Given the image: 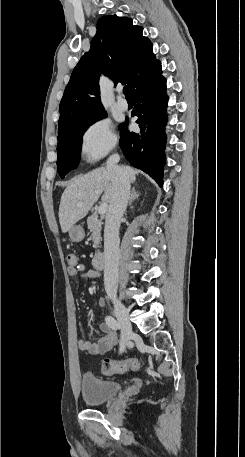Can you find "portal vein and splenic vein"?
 <instances>
[{"label": "portal vein and splenic vein", "instance_id": "obj_1", "mask_svg": "<svg viewBox=\"0 0 245 457\" xmlns=\"http://www.w3.org/2000/svg\"><path fill=\"white\" fill-rule=\"evenodd\" d=\"M80 204H81V202H80ZM107 210H108L107 202H102V204H100V206L98 208L99 214H105V212H107Z\"/></svg>", "mask_w": 245, "mask_h": 457}]
</instances>
